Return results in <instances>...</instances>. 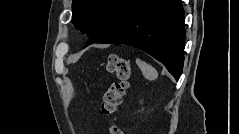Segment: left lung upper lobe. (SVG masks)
Here are the masks:
<instances>
[{"mask_svg": "<svg viewBox=\"0 0 239 134\" xmlns=\"http://www.w3.org/2000/svg\"><path fill=\"white\" fill-rule=\"evenodd\" d=\"M123 0H73L72 23L89 37L100 31L112 18Z\"/></svg>", "mask_w": 239, "mask_h": 134, "instance_id": "left-lung-upper-lobe-1", "label": "left lung upper lobe"}]
</instances>
